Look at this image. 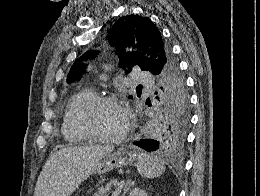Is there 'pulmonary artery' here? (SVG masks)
<instances>
[{"label": "pulmonary artery", "instance_id": "e3ab8cb5", "mask_svg": "<svg viewBox=\"0 0 260 196\" xmlns=\"http://www.w3.org/2000/svg\"><path fill=\"white\" fill-rule=\"evenodd\" d=\"M133 76L139 84H155V79H152L151 72H140L139 69L133 70Z\"/></svg>", "mask_w": 260, "mask_h": 196}]
</instances>
